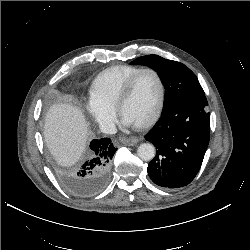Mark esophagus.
<instances>
[{"label": "esophagus", "instance_id": "obj_1", "mask_svg": "<svg viewBox=\"0 0 250 250\" xmlns=\"http://www.w3.org/2000/svg\"><path fill=\"white\" fill-rule=\"evenodd\" d=\"M120 140L122 143L129 145V146H133L139 142V139L136 137L121 138Z\"/></svg>", "mask_w": 250, "mask_h": 250}]
</instances>
